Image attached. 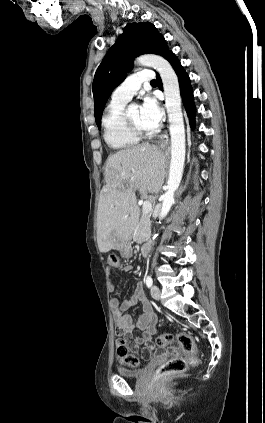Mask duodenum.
I'll list each match as a JSON object with an SVG mask.
<instances>
[{
	"label": "duodenum",
	"instance_id": "duodenum-1",
	"mask_svg": "<svg viewBox=\"0 0 265 423\" xmlns=\"http://www.w3.org/2000/svg\"><path fill=\"white\" fill-rule=\"evenodd\" d=\"M152 247H153V243L151 241L146 242L145 244H143L141 248V254L144 257H149L152 253Z\"/></svg>",
	"mask_w": 265,
	"mask_h": 423
}]
</instances>
